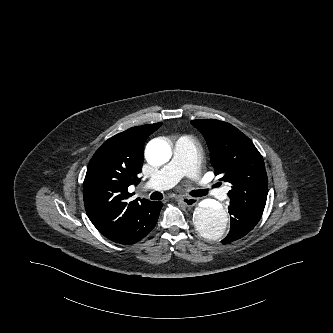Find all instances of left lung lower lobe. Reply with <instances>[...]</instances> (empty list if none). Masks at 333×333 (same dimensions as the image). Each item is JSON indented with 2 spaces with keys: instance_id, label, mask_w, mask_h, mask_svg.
<instances>
[{
  "instance_id": "left-lung-lower-lobe-1",
  "label": "left lung lower lobe",
  "mask_w": 333,
  "mask_h": 333,
  "mask_svg": "<svg viewBox=\"0 0 333 333\" xmlns=\"http://www.w3.org/2000/svg\"><path fill=\"white\" fill-rule=\"evenodd\" d=\"M229 214L231 227L229 234L221 241L223 244H228L245 236L256 226L262 216L260 212L236 204H230Z\"/></svg>"
}]
</instances>
